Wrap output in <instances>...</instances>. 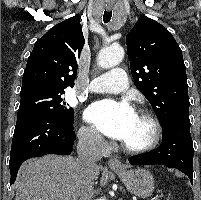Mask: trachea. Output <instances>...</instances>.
Instances as JSON below:
<instances>
[{"label": "trachea", "mask_w": 201, "mask_h": 200, "mask_svg": "<svg viewBox=\"0 0 201 200\" xmlns=\"http://www.w3.org/2000/svg\"><path fill=\"white\" fill-rule=\"evenodd\" d=\"M111 17H112V11L105 10L103 14L104 23H108L111 20Z\"/></svg>", "instance_id": "1"}]
</instances>
